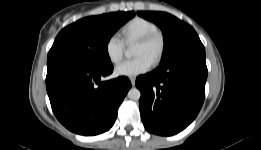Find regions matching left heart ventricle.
Returning a JSON list of instances; mask_svg holds the SVG:
<instances>
[{
	"label": "left heart ventricle",
	"mask_w": 261,
	"mask_h": 150,
	"mask_svg": "<svg viewBox=\"0 0 261 150\" xmlns=\"http://www.w3.org/2000/svg\"><path fill=\"white\" fill-rule=\"evenodd\" d=\"M134 55L135 56L147 55L148 57H150L153 60L154 47H150L145 44L137 42L135 49H134Z\"/></svg>",
	"instance_id": "obj_1"
}]
</instances>
